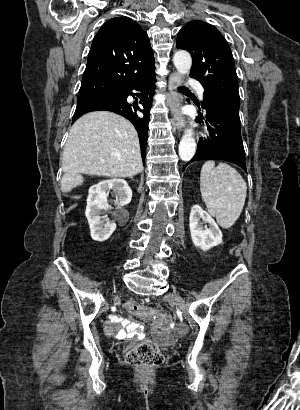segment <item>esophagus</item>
<instances>
[{
    "label": "esophagus",
    "mask_w": 300,
    "mask_h": 410,
    "mask_svg": "<svg viewBox=\"0 0 300 410\" xmlns=\"http://www.w3.org/2000/svg\"><path fill=\"white\" fill-rule=\"evenodd\" d=\"M181 82L180 75L178 73H173L169 77V106L172 111V121L174 128L178 131H182L185 126V120L183 118L182 113L179 110L181 99L180 95L177 91V87Z\"/></svg>",
    "instance_id": "esophagus-1"
}]
</instances>
